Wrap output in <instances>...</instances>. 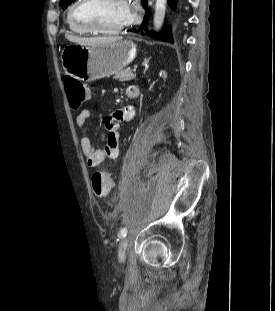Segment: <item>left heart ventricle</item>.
<instances>
[{"label":"left heart ventricle","instance_id":"1","mask_svg":"<svg viewBox=\"0 0 275 311\" xmlns=\"http://www.w3.org/2000/svg\"><path fill=\"white\" fill-rule=\"evenodd\" d=\"M126 2L124 0H101L81 8L78 16L98 27L114 29L126 24Z\"/></svg>","mask_w":275,"mask_h":311}]
</instances>
